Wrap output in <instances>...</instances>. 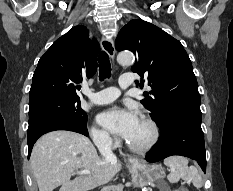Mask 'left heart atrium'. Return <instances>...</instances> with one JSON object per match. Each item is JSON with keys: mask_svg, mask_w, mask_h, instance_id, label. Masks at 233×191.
Masks as SVG:
<instances>
[{"mask_svg": "<svg viewBox=\"0 0 233 191\" xmlns=\"http://www.w3.org/2000/svg\"><path fill=\"white\" fill-rule=\"evenodd\" d=\"M137 113L132 109L113 108L98 116L99 123L106 129L128 139L139 122Z\"/></svg>", "mask_w": 233, "mask_h": 191, "instance_id": "39dd6f15", "label": "left heart atrium"}]
</instances>
